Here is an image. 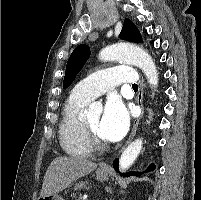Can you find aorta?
<instances>
[{
  "mask_svg": "<svg viewBox=\"0 0 201 200\" xmlns=\"http://www.w3.org/2000/svg\"><path fill=\"white\" fill-rule=\"evenodd\" d=\"M99 58L103 61H122L135 65L144 72L148 83L152 87L158 85V72L153 59L138 46L118 43L104 48L100 52ZM141 149L142 139H136L127 146L119 160L121 171L127 170L134 163Z\"/></svg>",
  "mask_w": 201,
  "mask_h": 200,
  "instance_id": "aorta-1",
  "label": "aorta"
}]
</instances>
